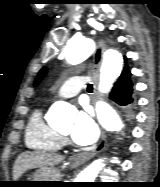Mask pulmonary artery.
I'll list each match as a JSON object with an SVG mask.
<instances>
[{
    "label": "pulmonary artery",
    "instance_id": "obj_1",
    "mask_svg": "<svg viewBox=\"0 0 160 187\" xmlns=\"http://www.w3.org/2000/svg\"><path fill=\"white\" fill-rule=\"evenodd\" d=\"M90 81L89 78L76 75L66 80L52 96V99H67L74 97L80 93L84 88L86 82Z\"/></svg>",
    "mask_w": 160,
    "mask_h": 187
}]
</instances>
